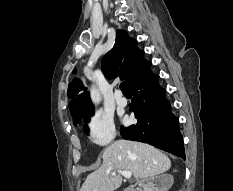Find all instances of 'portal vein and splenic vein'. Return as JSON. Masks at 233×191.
I'll return each mask as SVG.
<instances>
[{
  "label": "portal vein and splenic vein",
  "instance_id": "obj_1",
  "mask_svg": "<svg viewBox=\"0 0 233 191\" xmlns=\"http://www.w3.org/2000/svg\"><path fill=\"white\" fill-rule=\"evenodd\" d=\"M114 172L113 174H115ZM117 173L122 174L126 179H130L132 176V173L130 171H123V170H118Z\"/></svg>",
  "mask_w": 233,
  "mask_h": 191
}]
</instances>
